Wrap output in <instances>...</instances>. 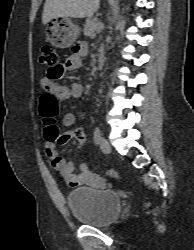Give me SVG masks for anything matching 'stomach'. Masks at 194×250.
Masks as SVG:
<instances>
[{
  "instance_id": "1",
  "label": "stomach",
  "mask_w": 194,
  "mask_h": 250,
  "mask_svg": "<svg viewBox=\"0 0 194 250\" xmlns=\"http://www.w3.org/2000/svg\"><path fill=\"white\" fill-rule=\"evenodd\" d=\"M46 30L50 32L47 34L48 40L58 48L70 47L80 33L79 27L69 17L51 20Z\"/></svg>"
}]
</instances>
